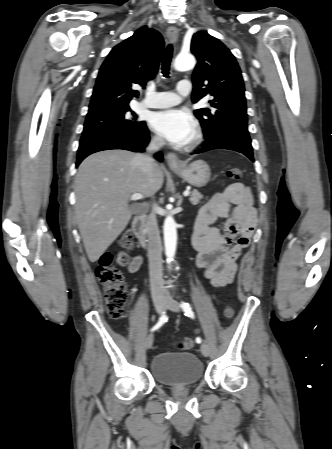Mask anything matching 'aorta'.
Here are the masks:
<instances>
[{
    "label": "aorta",
    "instance_id": "762f6f07",
    "mask_svg": "<svg viewBox=\"0 0 332 449\" xmlns=\"http://www.w3.org/2000/svg\"><path fill=\"white\" fill-rule=\"evenodd\" d=\"M195 58L191 54H179L174 61L177 71H188L194 68ZM164 245L167 262L173 261L177 246V226L172 216H167L163 225Z\"/></svg>",
    "mask_w": 332,
    "mask_h": 449
}]
</instances>
